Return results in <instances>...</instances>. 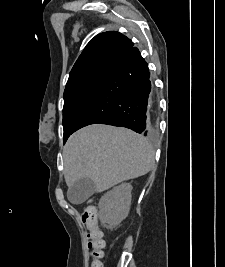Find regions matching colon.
Segmentation results:
<instances>
[{"label": "colon", "instance_id": "1", "mask_svg": "<svg viewBox=\"0 0 225 267\" xmlns=\"http://www.w3.org/2000/svg\"><path fill=\"white\" fill-rule=\"evenodd\" d=\"M82 221L87 226L88 247L90 249V267H103L105 240L102 230L98 226L95 206L87 204L82 211Z\"/></svg>", "mask_w": 225, "mask_h": 267}]
</instances>
